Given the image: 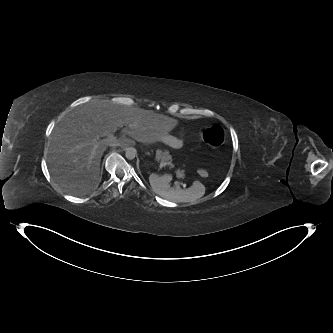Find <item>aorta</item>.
Wrapping results in <instances>:
<instances>
[{
    "instance_id": "1",
    "label": "aorta",
    "mask_w": 333,
    "mask_h": 333,
    "mask_svg": "<svg viewBox=\"0 0 333 333\" xmlns=\"http://www.w3.org/2000/svg\"><path fill=\"white\" fill-rule=\"evenodd\" d=\"M137 155V152H136V149L133 148V147H129L126 149V152H125V157L128 159V160H132L136 157Z\"/></svg>"
}]
</instances>
